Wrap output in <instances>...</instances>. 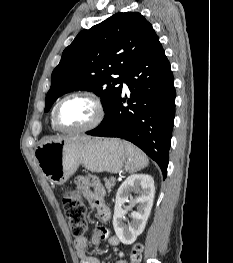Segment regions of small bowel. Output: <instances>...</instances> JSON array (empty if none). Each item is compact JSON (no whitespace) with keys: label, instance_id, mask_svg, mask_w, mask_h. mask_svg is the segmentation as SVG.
I'll list each match as a JSON object with an SVG mask.
<instances>
[{"label":"small bowel","instance_id":"c3829d8e","mask_svg":"<svg viewBox=\"0 0 233 263\" xmlns=\"http://www.w3.org/2000/svg\"><path fill=\"white\" fill-rule=\"evenodd\" d=\"M78 189L82 192L88 204L95 208L101 220L107 221L110 218V210L105 204L106 191L99 179L95 176L79 177L76 180ZM101 241H106L111 246L119 245V238L110 235V232L105 227H97L88 240L86 237L77 238L74 241L75 249L79 257L80 263H101L100 260L88 253L90 244L97 246ZM113 263H128L124 259V253L119 250L118 258Z\"/></svg>","mask_w":233,"mask_h":263}]
</instances>
